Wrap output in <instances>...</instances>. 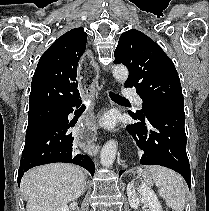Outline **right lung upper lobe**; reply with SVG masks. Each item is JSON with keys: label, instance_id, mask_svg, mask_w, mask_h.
<instances>
[{"label": "right lung upper lobe", "instance_id": "obj_1", "mask_svg": "<svg viewBox=\"0 0 209 211\" xmlns=\"http://www.w3.org/2000/svg\"><path fill=\"white\" fill-rule=\"evenodd\" d=\"M87 33L75 28L59 37L41 56L31 83L29 112L48 108H62L79 100V64L82 76L89 81L91 65L84 60Z\"/></svg>", "mask_w": 209, "mask_h": 211}]
</instances>
